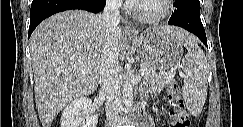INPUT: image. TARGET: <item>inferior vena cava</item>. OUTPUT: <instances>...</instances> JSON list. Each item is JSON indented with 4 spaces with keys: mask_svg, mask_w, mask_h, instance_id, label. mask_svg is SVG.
Wrapping results in <instances>:
<instances>
[{
    "mask_svg": "<svg viewBox=\"0 0 243 127\" xmlns=\"http://www.w3.org/2000/svg\"><path fill=\"white\" fill-rule=\"evenodd\" d=\"M120 7V0H107L102 14V20L106 23L108 30L103 50L99 83L101 89L106 93L105 110L110 127H116L119 121V113L122 110L120 98L122 81L118 53L114 41V33L120 23Z\"/></svg>",
    "mask_w": 243,
    "mask_h": 127,
    "instance_id": "602c4592",
    "label": "inferior vena cava"
}]
</instances>
